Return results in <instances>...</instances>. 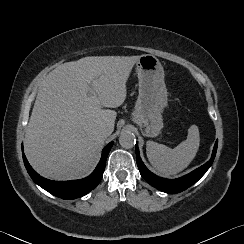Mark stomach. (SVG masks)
<instances>
[{
    "mask_svg": "<svg viewBox=\"0 0 244 244\" xmlns=\"http://www.w3.org/2000/svg\"><path fill=\"white\" fill-rule=\"evenodd\" d=\"M139 95L132 114L133 121L147 137L158 136L163 127V114L168 108L164 69L159 59L144 54L136 63Z\"/></svg>",
    "mask_w": 244,
    "mask_h": 244,
    "instance_id": "stomach-1",
    "label": "stomach"
}]
</instances>
